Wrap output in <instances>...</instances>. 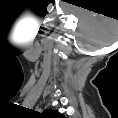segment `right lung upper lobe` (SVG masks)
<instances>
[{"label":"right lung upper lobe","mask_w":118,"mask_h":118,"mask_svg":"<svg viewBox=\"0 0 118 118\" xmlns=\"http://www.w3.org/2000/svg\"><path fill=\"white\" fill-rule=\"evenodd\" d=\"M48 111H50L51 113H52V112L54 113V111H52V110H48Z\"/></svg>","instance_id":"right-lung-upper-lobe-1"}]
</instances>
